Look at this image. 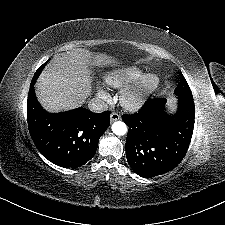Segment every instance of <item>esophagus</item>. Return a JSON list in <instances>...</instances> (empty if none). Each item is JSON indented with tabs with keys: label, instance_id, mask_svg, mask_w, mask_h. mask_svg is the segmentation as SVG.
I'll list each match as a JSON object with an SVG mask.
<instances>
[{
	"label": "esophagus",
	"instance_id": "esophagus-1",
	"mask_svg": "<svg viewBox=\"0 0 225 225\" xmlns=\"http://www.w3.org/2000/svg\"><path fill=\"white\" fill-rule=\"evenodd\" d=\"M121 119V116L117 112H112L110 115V122L118 121Z\"/></svg>",
	"mask_w": 225,
	"mask_h": 225
}]
</instances>
